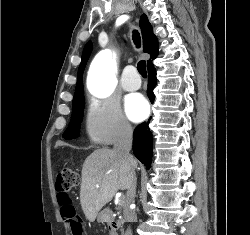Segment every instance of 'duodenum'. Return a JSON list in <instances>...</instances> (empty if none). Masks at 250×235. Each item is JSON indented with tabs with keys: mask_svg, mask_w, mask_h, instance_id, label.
Masks as SVG:
<instances>
[{
	"mask_svg": "<svg viewBox=\"0 0 250 235\" xmlns=\"http://www.w3.org/2000/svg\"><path fill=\"white\" fill-rule=\"evenodd\" d=\"M108 227L110 230V235H117V231H118V222L117 220L111 218L108 221Z\"/></svg>",
	"mask_w": 250,
	"mask_h": 235,
	"instance_id": "410a0bca",
	"label": "duodenum"
}]
</instances>
